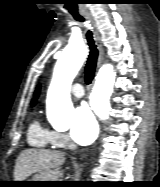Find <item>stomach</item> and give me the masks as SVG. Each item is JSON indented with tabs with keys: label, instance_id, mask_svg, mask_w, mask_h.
Instances as JSON below:
<instances>
[{
	"label": "stomach",
	"instance_id": "obj_1",
	"mask_svg": "<svg viewBox=\"0 0 160 187\" xmlns=\"http://www.w3.org/2000/svg\"><path fill=\"white\" fill-rule=\"evenodd\" d=\"M57 179H58V173L56 171L51 170L35 175L31 180H27V181H36V182L24 183L22 186L49 187V186H53L55 182H48V181H58Z\"/></svg>",
	"mask_w": 160,
	"mask_h": 187
}]
</instances>
